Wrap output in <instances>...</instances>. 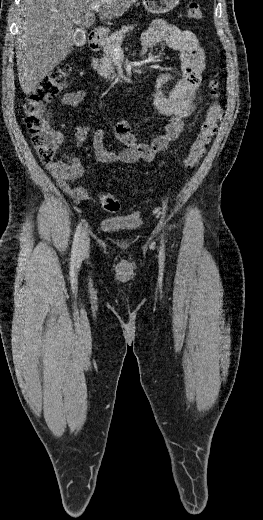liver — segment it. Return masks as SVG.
<instances>
[{
  "label": "liver",
  "mask_w": 263,
  "mask_h": 520,
  "mask_svg": "<svg viewBox=\"0 0 263 520\" xmlns=\"http://www.w3.org/2000/svg\"><path fill=\"white\" fill-rule=\"evenodd\" d=\"M138 0H22L16 44L18 78L24 94L34 91L74 46L73 25L83 28L121 17ZM101 4L98 10L92 6Z\"/></svg>",
  "instance_id": "obj_1"
}]
</instances>
